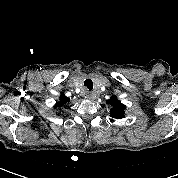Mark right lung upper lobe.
Here are the masks:
<instances>
[{"instance_id":"right-lung-upper-lobe-1","label":"right lung upper lobe","mask_w":178,"mask_h":178,"mask_svg":"<svg viewBox=\"0 0 178 178\" xmlns=\"http://www.w3.org/2000/svg\"><path fill=\"white\" fill-rule=\"evenodd\" d=\"M69 101V98L66 97L65 95L60 96V101L56 103L55 107H60L63 106L65 103Z\"/></svg>"}]
</instances>
